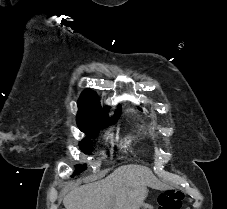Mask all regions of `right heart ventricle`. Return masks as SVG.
<instances>
[{"label": "right heart ventricle", "instance_id": "right-heart-ventricle-1", "mask_svg": "<svg viewBox=\"0 0 227 209\" xmlns=\"http://www.w3.org/2000/svg\"><path fill=\"white\" fill-rule=\"evenodd\" d=\"M137 133L138 134H141L142 133V130L140 128H138Z\"/></svg>", "mask_w": 227, "mask_h": 209}]
</instances>
